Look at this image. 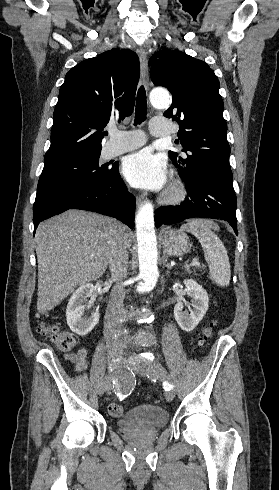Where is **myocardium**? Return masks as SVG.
<instances>
[{
	"instance_id": "myocardium-1",
	"label": "myocardium",
	"mask_w": 279,
	"mask_h": 490,
	"mask_svg": "<svg viewBox=\"0 0 279 490\" xmlns=\"http://www.w3.org/2000/svg\"><path fill=\"white\" fill-rule=\"evenodd\" d=\"M185 196L186 190L183 184L178 180H174L165 193L163 201L168 205H175L184 200Z\"/></svg>"
}]
</instances>
